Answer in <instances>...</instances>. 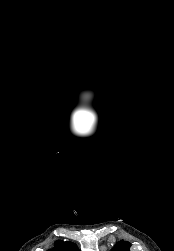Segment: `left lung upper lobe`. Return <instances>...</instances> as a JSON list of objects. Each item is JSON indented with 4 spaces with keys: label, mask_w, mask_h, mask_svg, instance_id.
Wrapping results in <instances>:
<instances>
[{
    "label": "left lung upper lobe",
    "mask_w": 174,
    "mask_h": 251,
    "mask_svg": "<svg viewBox=\"0 0 174 251\" xmlns=\"http://www.w3.org/2000/svg\"><path fill=\"white\" fill-rule=\"evenodd\" d=\"M129 247L130 244L122 240L114 246L113 251H129Z\"/></svg>",
    "instance_id": "obj_1"
}]
</instances>
